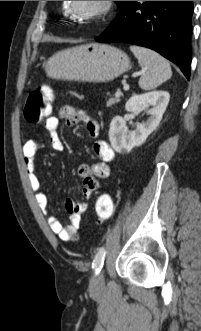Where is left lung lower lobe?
<instances>
[{"label": "left lung lower lobe", "mask_w": 201, "mask_h": 331, "mask_svg": "<svg viewBox=\"0 0 201 331\" xmlns=\"http://www.w3.org/2000/svg\"><path fill=\"white\" fill-rule=\"evenodd\" d=\"M119 13L96 41L153 49L190 78L193 1H122Z\"/></svg>", "instance_id": "obj_1"}]
</instances>
